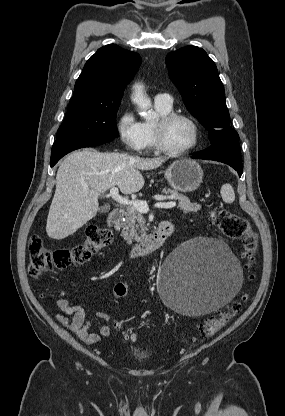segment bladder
Returning <instances> with one entry per match:
<instances>
[{
  "instance_id": "bladder-1",
  "label": "bladder",
  "mask_w": 285,
  "mask_h": 416,
  "mask_svg": "<svg viewBox=\"0 0 285 416\" xmlns=\"http://www.w3.org/2000/svg\"><path fill=\"white\" fill-rule=\"evenodd\" d=\"M141 358H147L148 357V355H146V354H140L139 355Z\"/></svg>"
}]
</instances>
